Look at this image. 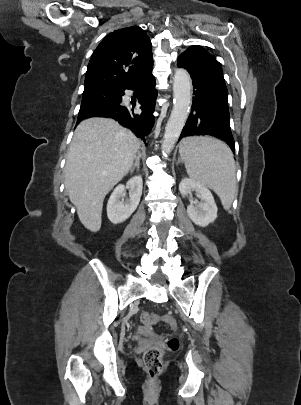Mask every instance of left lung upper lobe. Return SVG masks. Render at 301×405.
Wrapping results in <instances>:
<instances>
[{"mask_svg": "<svg viewBox=\"0 0 301 405\" xmlns=\"http://www.w3.org/2000/svg\"><path fill=\"white\" fill-rule=\"evenodd\" d=\"M182 54L202 58V59L210 62V64L222 74V70H221L218 62L214 58V56H212L209 52H207L203 47L194 45V46L189 47Z\"/></svg>", "mask_w": 301, "mask_h": 405, "instance_id": "1", "label": "left lung upper lobe"}]
</instances>
